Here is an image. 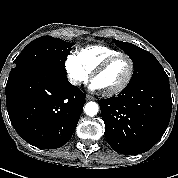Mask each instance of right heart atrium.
I'll list each match as a JSON object with an SVG mask.
<instances>
[{"label":"right heart atrium","mask_w":178,"mask_h":178,"mask_svg":"<svg viewBox=\"0 0 178 178\" xmlns=\"http://www.w3.org/2000/svg\"><path fill=\"white\" fill-rule=\"evenodd\" d=\"M65 70L70 83L80 86L88 82L90 72L81 63L78 55H69L65 61Z\"/></svg>","instance_id":"d8ad5b80"}]
</instances>
